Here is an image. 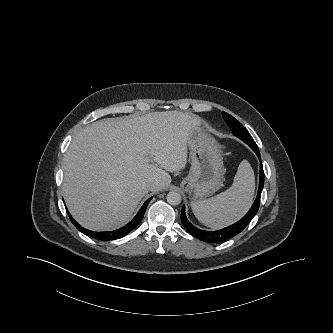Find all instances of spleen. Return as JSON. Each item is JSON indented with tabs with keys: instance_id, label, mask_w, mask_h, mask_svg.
Masks as SVG:
<instances>
[{
	"instance_id": "1",
	"label": "spleen",
	"mask_w": 333,
	"mask_h": 333,
	"mask_svg": "<svg viewBox=\"0 0 333 333\" xmlns=\"http://www.w3.org/2000/svg\"><path fill=\"white\" fill-rule=\"evenodd\" d=\"M254 190V172L248 161L243 160L230 188L209 199L191 202V208L204 225L222 228L244 216L252 204Z\"/></svg>"
}]
</instances>
